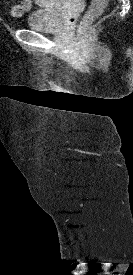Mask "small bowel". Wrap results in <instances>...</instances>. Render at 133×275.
Wrapping results in <instances>:
<instances>
[{
	"mask_svg": "<svg viewBox=\"0 0 133 275\" xmlns=\"http://www.w3.org/2000/svg\"><path fill=\"white\" fill-rule=\"evenodd\" d=\"M28 1V3H29V8L31 7V1L30 0H27Z\"/></svg>",
	"mask_w": 133,
	"mask_h": 275,
	"instance_id": "c3829d8e",
	"label": "small bowel"
}]
</instances>
